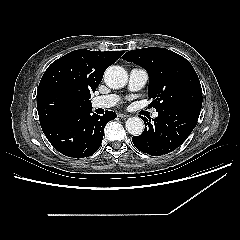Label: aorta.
Listing matches in <instances>:
<instances>
[{"mask_svg": "<svg viewBox=\"0 0 240 240\" xmlns=\"http://www.w3.org/2000/svg\"><path fill=\"white\" fill-rule=\"evenodd\" d=\"M128 80L127 72L120 66H110L104 74L106 85L112 89H119L126 85ZM126 130L134 136L142 134L144 131V122L139 117H130L126 123Z\"/></svg>", "mask_w": 240, "mask_h": 240, "instance_id": "762f6f07", "label": "aorta"}]
</instances>
